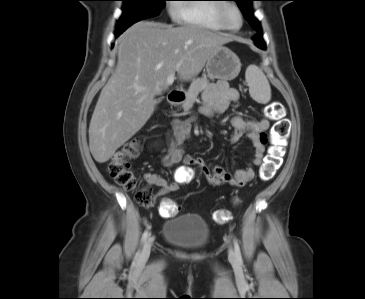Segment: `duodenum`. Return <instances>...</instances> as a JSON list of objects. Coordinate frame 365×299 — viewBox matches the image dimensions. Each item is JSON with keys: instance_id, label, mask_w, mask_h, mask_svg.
<instances>
[{"instance_id": "1", "label": "duodenum", "mask_w": 365, "mask_h": 299, "mask_svg": "<svg viewBox=\"0 0 365 299\" xmlns=\"http://www.w3.org/2000/svg\"><path fill=\"white\" fill-rule=\"evenodd\" d=\"M186 98V92L183 89H176L168 94V101L172 105L181 104Z\"/></svg>"}]
</instances>
